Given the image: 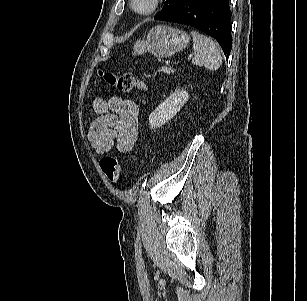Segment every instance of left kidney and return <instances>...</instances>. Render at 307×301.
Listing matches in <instances>:
<instances>
[{
	"instance_id": "5707ae66",
	"label": "left kidney",
	"mask_w": 307,
	"mask_h": 301,
	"mask_svg": "<svg viewBox=\"0 0 307 301\" xmlns=\"http://www.w3.org/2000/svg\"><path fill=\"white\" fill-rule=\"evenodd\" d=\"M189 94L186 90H176L164 102L158 105L149 116V125L151 128H159L170 119L187 102Z\"/></svg>"
}]
</instances>
